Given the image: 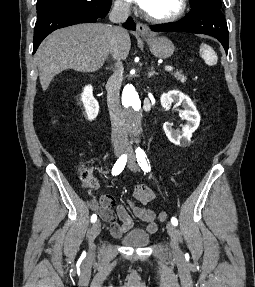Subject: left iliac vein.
Returning a JSON list of instances; mask_svg holds the SVG:
<instances>
[{"instance_id":"1","label":"left iliac vein","mask_w":255,"mask_h":287,"mask_svg":"<svg viewBox=\"0 0 255 287\" xmlns=\"http://www.w3.org/2000/svg\"><path fill=\"white\" fill-rule=\"evenodd\" d=\"M128 152H129V158H128L127 166L131 171L136 172L138 170L136 158L134 156L132 149L129 148ZM166 228L171 238V246H172L173 252L175 254H179L181 250H180L179 243H178V234H177L176 227L172 223H168Z\"/></svg>"}]
</instances>
